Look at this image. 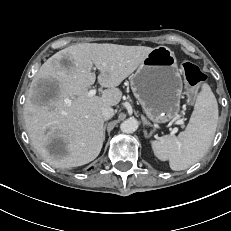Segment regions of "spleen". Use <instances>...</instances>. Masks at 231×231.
<instances>
[{
  "mask_svg": "<svg viewBox=\"0 0 231 231\" xmlns=\"http://www.w3.org/2000/svg\"><path fill=\"white\" fill-rule=\"evenodd\" d=\"M217 123V100L210 87L204 84L186 130L178 136L166 135L158 141H152L154 154L162 161L168 160L172 170L187 169L208 151Z\"/></svg>",
  "mask_w": 231,
  "mask_h": 231,
  "instance_id": "obj_1",
  "label": "spleen"
}]
</instances>
